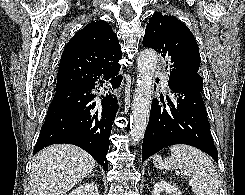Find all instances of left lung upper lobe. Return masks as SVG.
I'll use <instances>...</instances> for the list:
<instances>
[{
  "instance_id": "obj_1",
  "label": "left lung upper lobe",
  "mask_w": 245,
  "mask_h": 195,
  "mask_svg": "<svg viewBox=\"0 0 245 195\" xmlns=\"http://www.w3.org/2000/svg\"><path fill=\"white\" fill-rule=\"evenodd\" d=\"M143 46L153 48L168 60L169 83L203 90V79L198 73L201 58L197 42L175 16L154 13L147 24Z\"/></svg>"
}]
</instances>
